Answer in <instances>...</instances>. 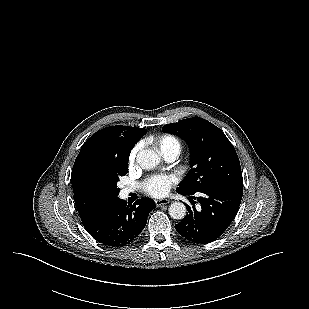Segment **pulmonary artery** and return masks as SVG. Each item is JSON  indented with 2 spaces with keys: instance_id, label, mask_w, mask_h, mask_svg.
<instances>
[{
  "instance_id": "obj_1",
  "label": "pulmonary artery",
  "mask_w": 309,
  "mask_h": 309,
  "mask_svg": "<svg viewBox=\"0 0 309 309\" xmlns=\"http://www.w3.org/2000/svg\"><path fill=\"white\" fill-rule=\"evenodd\" d=\"M178 154H179V153L176 152V151H171V152L165 153V154H164V157H165V159H166L167 161L172 162V161H174V160L177 158ZM130 191H131V189H129V188H125V189L123 190V192H124L125 194L129 193Z\"/></svg>"
}]
</instances>
